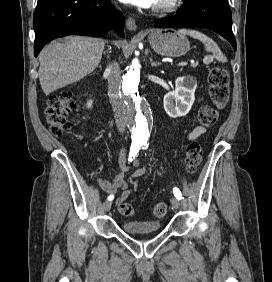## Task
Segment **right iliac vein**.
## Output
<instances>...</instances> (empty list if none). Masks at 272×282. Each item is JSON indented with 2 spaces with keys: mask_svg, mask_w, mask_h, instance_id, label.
Listing matches in <instances>:
<instances>
[{
  "mask_svg": "<svg viewBox=\"0 0 272 282\" xmlns=\"http://www.w3.org/2000/svg\"><path fill=\"white\" fill-rule=\"evenodd\" d=\"M111 206H112V202L110 200H107L103 203V207L106 212L111 209Z\"/></svg>",
  "mask_w": 272,
  "mask_h": 282,
  "instance_id": "right-iliac-vein-1",
  "label": "right iliac vein"
}]
</instances>
